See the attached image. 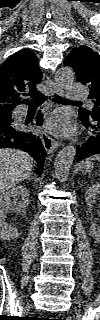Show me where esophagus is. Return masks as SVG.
I'll use <instances>...</instances> for the list:
<instances>
[{"instance_id": "34e87169", "label": "esophagus", "mask_w": 100, "mask_h": 320, "mask_svg": "<svg viewBox=\"0 0 100 320\" xmlns=\"http://www.w3.org/2000/svg\"><path fill=\"white\" fill-rule=\"evenodd\" d=\"M46 84L52 94H60L61 93V89L59 88V86L55 82H53L52 80L48 79L46 81ZM40 138H41V141L43 143L45 150L48 153H52L54 150H56L60 146V144L55 139L50 137L46 132H42L40 135Z\"/></svg>"}]
</instances>
